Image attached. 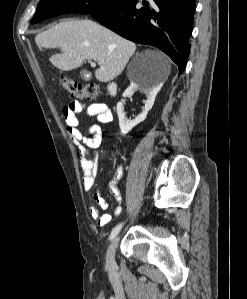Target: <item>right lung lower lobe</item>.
<instances>
[{
	"instance_id": "98d812e1",
	"label": "right lung lower lobe",
	"mask_w": 247,
	"mask_h": 299,
	"mask_svg": "<svg viewBox=\"0 0 247 299\" xmlns=\"http://www.w3.org/2000/svg\"><path fill=\"white\" fill-rule=\"evenodd\" d=\"M194 11L195 0H122L91 16L128 40L159 48L181 74L189 55Z\"/></svg>"
}]
</instances>
